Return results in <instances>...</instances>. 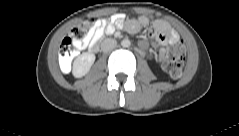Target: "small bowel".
I'll return each mask as SVG.
<instances>
[{"instance_id": "small-bowel-1", "label": "small bowel", "mask_w": 239, "mask_h": 136, "mask_svg": "<svg viewBox=\"0 0 239 136\" xmlns=\"http://www.w3.org/2000/svg\"><path fill=\"white\" fill-rule=\"evenodd\" d=\"M149 25H151L153 28V30L150 32V37L162 44L157 53V61L162 63L167 56V50L164 45L166 43H176L180 38L178 33L171 28L168 22L162 19L151 21L147 16H139L126 20L123 14H116L108 21H98L92 28L90 34L76 45V49H86L89 45L93 44L104 32L111 34L115 31V29L125 27L128 32L135 34L138 33L142 27ZM142 45L145 46L146 43L142 42Z\"/></svg>"}]
</instances>
